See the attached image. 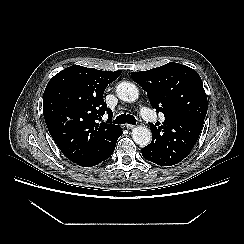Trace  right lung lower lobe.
Masks as SVG:
<instances>
[{"label": "right lung lower lobe", "instance_id": "right-lung-lower-lobe-1", "mask_svg": "<svg viewBox=\"0 0 244 244\" xmlns=\"http://www.w3.org/2000/svg\"><path fill=\"white\" fill-rule=\"evenodd\" d=\"M122 135V130L121 128L119 129V131L117 132L115 139L113 141V143L111 144V146H109L108 150L100 157L91 160V161H86V162H80V163H76L79 166H83V167H92L95 166L103 161H105L106 159H108L112 153L114 152L115 146H116V142L117 139Z\"/></svg>", "mask_w": 244, "mask_h": 244}]
</instances>
